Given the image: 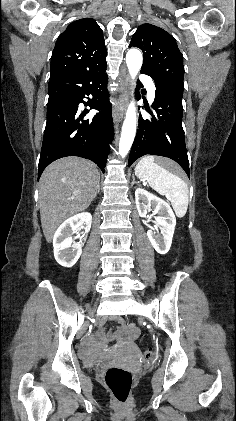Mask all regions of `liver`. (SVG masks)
Wrapping results in <instances>:
<instances>
[{"mask_svg":"<svg viewBox=\"0 0 236 421\" xmlns=\"http://www.w3.org/2000/svg\"><path fill=\"white\" fill-rule=\"evenodd\" d=\"M161 160L165 162V158ZM99 178L96 164L80 156L58 158L45 168L39 180V204L47 243H52L63 221L85 211L95 196Z\"/></svg>","mask_w":236,"mask_h":421,"instance_id":"6515ba94","label":"liver"}]
</instances>
